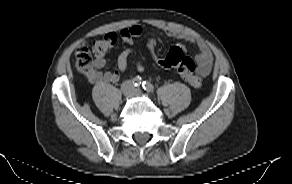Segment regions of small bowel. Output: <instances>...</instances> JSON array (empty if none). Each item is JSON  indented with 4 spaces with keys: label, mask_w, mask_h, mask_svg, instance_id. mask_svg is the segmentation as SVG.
<instances>
[{
    "label": "small bowel",
    "mask_w": 292,
    "mask_h": 184,
    "mask_svg": "<svg viewBox=\"0 0 292 184\" xmlns=\"http://www.w3.org/2000/svg\"><path fill=\"white\" fill-rule=\"evenodd\" d=\"M142 32H143L142 27L138 24H135L130 27L122 29L120 31V36L124 43L132 44L135 38L141 36ZM168 35L194 43L198 49V53L196 55V61L198 64L197 73L200 76H207L211 72L213 58L209 48L205 43L197 40L196 38L188 34L170 31L168 32ZM180 47L183 46L180 45ZM132 56H134L133 49L127 48L123 50L117 58V69H115L114 71L106 72H102L100 70L105 66L106 63L104 56L103 55L97 56L94 62L93 70L87 73L89 81L93 84L115 83L119 81L121 75L127 69L129 58ZM136 68L139 72H143L145 70L144 65L140 61L136 62Z\"/></svg>",
    "instance_id": "small-bowel-1"
}]
</instances>
